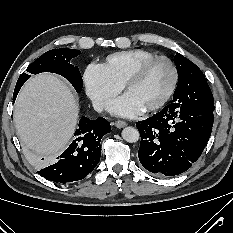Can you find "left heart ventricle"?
I'll list each match as a JSON object with an SVG mask.
<instances>
[{
    "instance_id": "b2bd125f",
    "label": "left heart ventricle",
    "mask_w": 233,
    "mask_h": 233,
    "mask_svg": "<svg viewBox=\"0 0 233 233\" xmlns=\"http://www.w3.org/2000/svg\"><path fill=\"white\" fill-rule=\"evenodd\" d=\"M172 71L165 61L153 63L128 89L129 94L144 109L159 101L168 90Z\"/></svg>"
}]
</instances>
